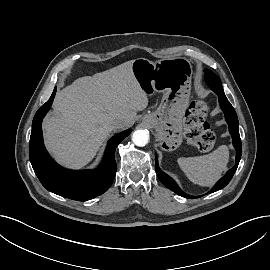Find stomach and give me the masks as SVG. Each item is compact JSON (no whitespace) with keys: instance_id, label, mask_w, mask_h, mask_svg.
I'll return each instance as SVG.
<instances>
[{"instance_id":"obj_1","label":"stomach","mask_w":270,"mask_h":270,"mask_svg":"<svg viewBox=\"0 0 270 270\" xmlns=\"http://www.w3.org/2000/svg\"><path fill=\"white\" fill-rule=\"evenodd\" d=\"M132 72L147 94L162 93L158 108L144 115L143 122L157 132L163 150L173 151L182 143L183 117L189 105L192 65L182 57L157 62L145 58L133 61Z\"/></svg>"}]
</instances>
